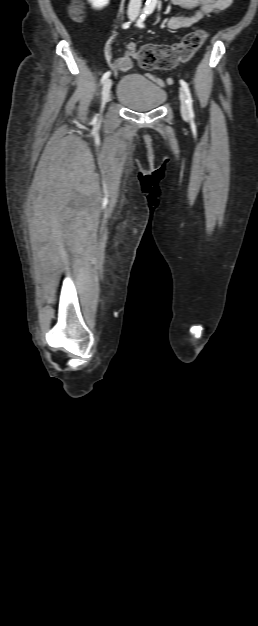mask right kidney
<instances>
[{
  "instance_id": "ca27d5eb",
  "label": "right kidney",
  "mask_w": 258,
  "mask_h": 626,
  "mask_svg": "<svg viewBox=\"0 0 258 626\" xmlns=\"http://www.w3.org/2000/svg\"><path fill=\"white\" fill-rule=\"evenodd\" d=\"M88 1L91 3L92 7L95 10H100L106 7L110 0H88Z\"/></svg>"
}]
</instances>
